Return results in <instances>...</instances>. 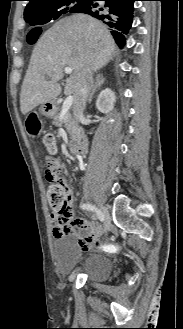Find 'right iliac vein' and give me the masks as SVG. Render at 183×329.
<instances>
[{
	"instance_id": "obj_1",
	"label": "right iliac vein",
	"mask_w": 183,
	"mask_h": 329,
	"mask_svg": "<svg viewBox=\"0 0 183 329\" xmlns=\"http://www.w3.org/2000/svg\"><path fill=\"white\" fill-rule=\"evenodd\" d=\"M100 210L104 216L105 233H107L110 230V216L108 210L105 207L100 206Z\"/></svg>"
}]
</instances>
